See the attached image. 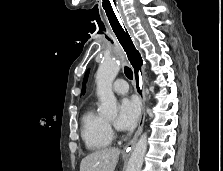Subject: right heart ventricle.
Segmentation results:
<instances>
[{"mask_svg":"<svg viewBox=\"0 0 223 171\" xmlns=\"http://www.w3.org/2000/svg\"><path fill=\"white\" fill-rule=\"evenodd\" d=\"M81 137L90 151L105 149L112 143L108 121L93 106H89L82 115Z\"/></svg>","mask_w":223,"mask_h":171,"instance_id":"right-heart-ventricle-1","label":"right heart ventricle"}]
</instances>
